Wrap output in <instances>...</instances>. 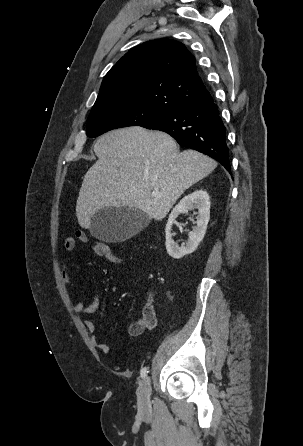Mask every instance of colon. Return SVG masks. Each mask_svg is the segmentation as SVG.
Masks as SVG:
<instances>
[{"mask_svg": "<svg viewBox=\"0 0 303 446\" xmlns=\"http://www.w3.org/2000/svg\"><path fill=\"white\" fill-rule=\"evenodd\" d=\"M97 255L110 262L117 263L121 261V257L113 253L109 246L102 242H99Z\"/></svg>", "mask_w": 303, "mask_h": 446, "instance_id": "5ec220e1", "label": "colon"}]
</instances>
